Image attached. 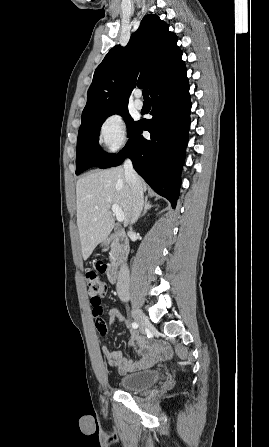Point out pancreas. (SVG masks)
Here are the masks:
<instances>
[{"label":"pancreas","mask_w":269,"mask_h":447,"mask_svg":"<svg viewBox=\"0 0 269 447\" xmlns=\"http://www.w3.org/2000/svg\"><path fill=\"white\" fill-rule=\"evenodd\" d=\"M109 259H110V261H112V263H114V261H116V259H117V253H116L115 245H111V251H110Z\"/></svg>","instance_id":"pancreas-1"}]
</instances>
